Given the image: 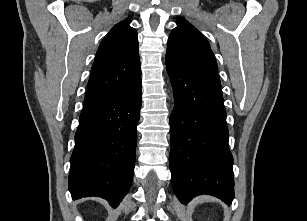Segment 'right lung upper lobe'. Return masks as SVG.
<instances>
[{
  "mask_svg": "<svg viewBox=\"0 0 307 221\" xmlns=\"http://www.w3.org/2000/svg\"><path fill=\"white\" fill-rule=\"evenodd\" d=\"M130 19L116 24L97 51L84 102L118 93L141 79L137 31Z\"/></svg>",
  "mask_w": 307,
  "mask_h": 221,
  "instance_id": "right-lung-upper-lobe-1",
  "label": "right lung upper lobe"
}]
</instances>
